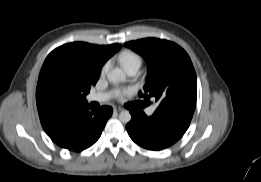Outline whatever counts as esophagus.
<instances>
[{"label":"esophagus","mask_w":261,"mask_h":182,"mask_svg":"<svg viewBox=\"0 0 261 182\" xmlns=\"http://www.w3.org/2000/svg\"><path fill=\"white\" fill-rule=\"evenodd\" d=\"M113 109H114L115 112H120V111L123 110V108H121V107H117V106L114 107Z\"/></svg>","instance_id":"obj_1"}]
</instances>
